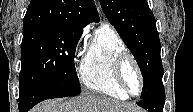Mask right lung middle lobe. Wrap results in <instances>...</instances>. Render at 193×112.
Wrapping results in <instances>:
<instances>
[{"label": "right lung middle lobe", "mask_w": 193, "mask_h": 112, "mask_svg": "<svg viewBox=\"0 0 193 112\" xmlns=\"http://www.w3.org/2000/svg\"><path fill=\"white\" fill-rule=\"evenodd\" d=\"M83 30L37 27L23 31L20 95L41 91L50 98L81 92L74 56Z\"/></svg>", "instance_id": "obj_1"}]
</instances>
